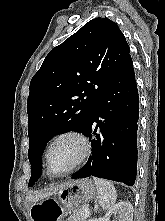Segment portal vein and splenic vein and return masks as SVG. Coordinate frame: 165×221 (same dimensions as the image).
I'll list each match as a JSON object with an SVG mask.
<instances>
[{"mask_svg":"<svg viewBox=\"0 0 165 221\" xmlns=\"http://www.w3.org/2000/svg\"><path fill=\"white\" fill-rule=\"evenodd\" d=\"M83 210H84L85 213L89 212V208L88 207H83Z\"/></svg>","mask_w":165,"mask_h":221,"instance_id":"1","label":"portal vein and splenic vein"}]
</instances>
